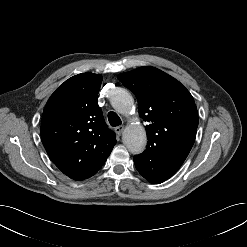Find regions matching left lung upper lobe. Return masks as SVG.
<instances>
[{
    "label": "left lung upper lobe",
    "mask_w": 247,
    "mask_h": 247,
    "mask_svg": "<svg viewBox=\"0 0 247 247\" xmlns=\"http://www.w3.org/2000/svg\"><path fill=\"white\" fill-rule=\"evenodd\" d=\"M119 81L137 100L140 117L149 122L146 151L181 149L190 152L196 137L198 114L190 92L175 78L154 67L122 73Z\"/></svg>",
    "instance_id": "left-lung-upper-lobe-1"
}]
</instances>
